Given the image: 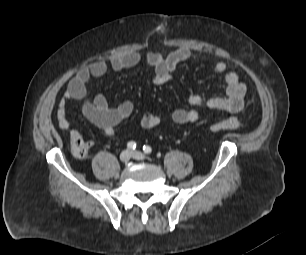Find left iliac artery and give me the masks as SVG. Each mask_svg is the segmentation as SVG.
Segmentation results:
<instances>
[{
	"instance_id": "1",
	"label": "left iliac artery",
	"mask_w": 306,
	"mask_h": 255,
	"mask_svg": "<svg viewBox=\"0 0 306 255\" xmlns=\"http://www.w3.org/2000/svg\"><path fill=\"white\" fill-rule=\"evenodd\" d=\"M143 151L146 154H150L152 152V148L150 146H148V145H144L143 146Z\"/></svg>"
}]
</instances>
